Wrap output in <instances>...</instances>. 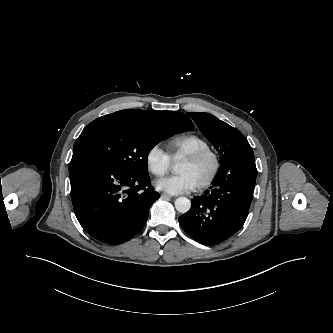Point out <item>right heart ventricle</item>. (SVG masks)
<instances>
[{
	"instance_id": "obj_1",
	"label": "right heart ventricle",
	"mask_w": 333,
	"mask_h": 333,
	"mask_svg": "<svg viewBox=\"0 0 333 333\" xmlns=\"http://www.w3.org/2000/svg\"><path fill=\"white\" fill-rule=\"evenodd\" d=\"M170 160H177L194 152L209 149L208 142L199 135L183 133L167 140Z\"/></svg>"
}]
</instances>
